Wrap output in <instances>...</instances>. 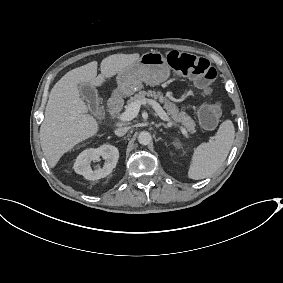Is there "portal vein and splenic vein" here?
Segmentation results:
<instances>
[{
  "label": "portal vein and splenic vein",
  "instance_id": "portal-vein-and-splenic-vein-1",
  "mask_svg": "<svg viewBox=\"0 0 283 283\" xmlns=\"http://www.w3.org/2000/svg\"><path fill=\"white\" fill-rule=\"evenodd\" d=\"M153 108L155 109V111L158 113L159 117L164 120L165 122H168V125H174L178 128H182L180 124H178L177 122H175L174 120H172L167 114L166 112L156 103L153 102ZM139 111V104L138 103H132L130 104L126 110L124 112H121L120 114H118L117 116V120L120 122H128L133 120ZM183 130V128H182ZM213 139V137H210L209 140L211 141Z\"/></svg>",
  "mask_w": 283,
  "mask_h": 283
}]
</instances>
